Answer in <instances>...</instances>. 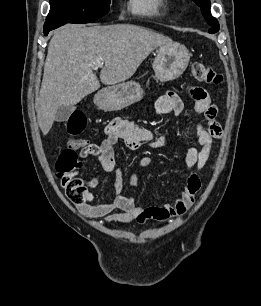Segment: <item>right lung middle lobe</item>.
I'll list each match as a JSON object with an SVG mask.
<instances>
[{
	"label": "right lung middle lobe",
	"mask_w": 261,
	"mask_h": 306,
	"mask_svg": "<svg viewBox=\"0 0 261 306\" xmlns=\"http://www.w3.org/2000/svg\"><path fill=\"white\" fill-rule=\"evenodd\" d=\"M110 0H50L49 23H90L108 13Z\"/></svg>",
	"instance_id": "1"
}]
</instances>
